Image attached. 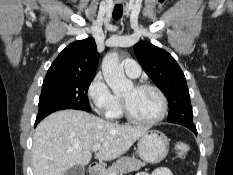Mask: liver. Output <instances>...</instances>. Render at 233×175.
Listing matches in <instances>:
<instances>
[{"label":"liver","mask_w":233,"mask_h":175,"mask_svg":"<svg viewBox=\"0 0 233 175\" xmlns=\"http://www.w3.org/2000/svg\"><path fill=\"white\" fill-rule=\"evenodd\" d=\"M146 127L123 126L84 111L67 109L50 114L36 127L32 164L34 175H65L75 165L85 166L95 144V158L111 161L123 155Z\"/></svg>","instance_id":"liver-1"}]
</instances>
